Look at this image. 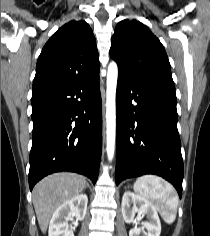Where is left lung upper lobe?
Masks as SVG:
<instances>
[{
	"mask_svg": "<svg viewBox=\"0 0 210 236\" xmlns=\"http://www.w3.org/2000/svg\"><path fill=\"white\" fill-rule=\"evenodd\" d=\"M110 56L118 64L119 77L136 84L175 89L164 47L142 23L128 19L118 23Z\"/></svg>",
	"mask_w": 210,
	"mask_h": 236,
	"instance_id": "5c2ea615",
	"label": "left lung upper lobe"
}]
</instances>
